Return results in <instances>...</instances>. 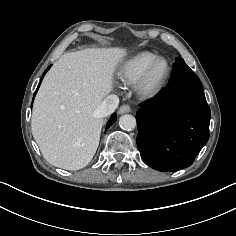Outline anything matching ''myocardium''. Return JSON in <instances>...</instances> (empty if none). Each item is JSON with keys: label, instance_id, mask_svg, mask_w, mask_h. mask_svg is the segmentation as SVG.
<instances>
[{"label": "myocardium", "instance_id": "f54148a6", "mask_svg": "<svg viewBox=\"0 0 236 236\" xmlns=\"http://www.w3.org/2000/svg\"><path fill=\"white\" fill-rule=\"evenodd\" d=\"M163 63L165 70L157 83H152V76L156 68ZM171 76V66L165 58H157L144 71L140 78L136 81L137 94L147 100L157 98L166 88Z\"/></svg>", "mask_w": 236, "mask_h": 236}]
</instances>
